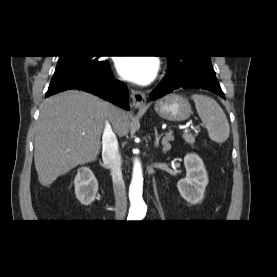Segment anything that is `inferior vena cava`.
I'll use <instances>...</instances> for the list:
<instances>
[{
    "instance_id": "obj_1",
    "label": "inferior vena cava",
    "mask_w": 277,
    "mask_h": 277,
    "mask_svg": "<svg viewBox=\"0 0 277 277\" xmlns=\"http://www.w3.org/2000/svg\"><path fill=\"white\" fill-rule=\"evenodd\" d=\"M103 163L110 168L115 196V217L124 219L127 212V196L121 171V155L115 133L108 121L102 136Z\"/></svg>"
}]
</instances>
